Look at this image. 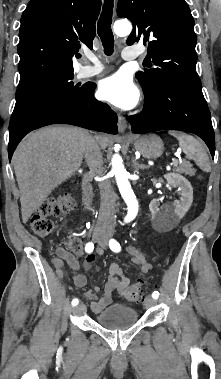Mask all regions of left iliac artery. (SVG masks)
<instances>
[{
	"label": "left iliac artery",
	"mask_w": 221,
	"mask_h": 379,
	"mask_svg": "<svg viewBox=\"0 0 221 379\" xmlns=\"http://www.w3.org/2000/svg\"><path fill=\"white\" fill-rule=\"evenodd\" d=\"M109 247H110V249H111L112 251H114V252H120V250H121V246H120V244H119L115 239H111V240L109 241ZM152 297H153L154 299H157V298L159 297V292H158V291H154V292L152 293Z\"/></svg>",
	"instance_id": "1"
}]
</instances>
